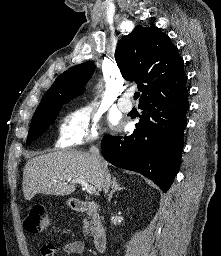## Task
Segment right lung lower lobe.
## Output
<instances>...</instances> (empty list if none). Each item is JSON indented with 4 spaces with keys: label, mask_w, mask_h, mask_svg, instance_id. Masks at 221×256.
Instances as JSON below:
<instances>
[{
    "label": "right lung lower lobe",
    "mask_w": 221,
    "mask_h": 256,
    "mask_svg": "<svg viewBox=\"0 0 221 256\" xmlns=\"http://www.w3.org/2000/svg\"><path fill=\"white\" fill-rule=\"evenodd\" d=\"M187 97L185 91L140 103L144 112L132 135L103 137L104 158L117 167L141 173L167 192L180 165Z\"/></svg>",
    "instance_id": "right-lung-lower-lobe-1"
}]
</instances>
